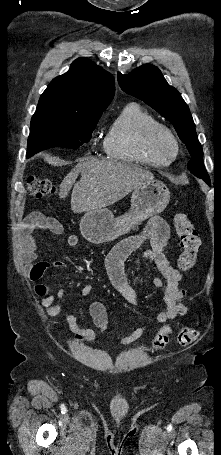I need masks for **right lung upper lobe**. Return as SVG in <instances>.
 I'll return each mask as SVG.
<instances>
[{"mask_svg": "<svg viewBox=\"0 0 221 455\" xmlns=\"http://www.w3.org/2000/svg\"><path fill=\"white\" fill-rule=\"evenodd\" d=\"M115 93L114 77L85 59H76L70 70L53 79L40 96L37 109L60 114L88 115L103 112Z\"/></svg>", "mask_w": 221, "mask_h": 455, "instance_id": "obj_1", "label": "right lung upper lobe"}]
</instances>
